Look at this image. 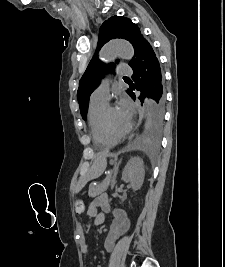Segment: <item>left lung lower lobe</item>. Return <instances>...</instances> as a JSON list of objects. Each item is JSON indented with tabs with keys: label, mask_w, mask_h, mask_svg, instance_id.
Segmentation results:
<instances>
[{
	"label": "left lung lower lobe",
	"mask_w": 225,
	"mask_h": 267,
	"mask_svg": "<svg viewBox=\"0 0 225 267\" xmlns=\"http://www.w3.org/2000/svg\"><path fill=\"white\" fill-rule=\"evenodd\" d=\"M132 79L135 86L129 89V96L135 100V90L140 91L138 99L143 102L145 97L152 100V106L157 105L164 109L165 93L163 75L159 61L150 43L142 38L139 44L137 55L132 65Z\"/></svg>",
	"instance_id": "left-lung-lower-lobe-1"
}]
</instances>
